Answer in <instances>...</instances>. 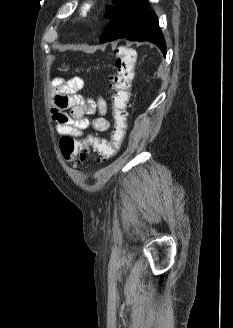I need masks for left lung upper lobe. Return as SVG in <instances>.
Segmentation results:
<instances>
[{
  "label": "left lung upper lobe",
  "instance_id": "1",
  "mask_svg": "<svg viewBox=\"0 0 233 328\" xmlns=\"http://www.w3.org/2000/svg\"><path fill=\"white\" fill-rule=\"evenodd\" d=\"M127 1L128 0H112L114 5H109L107 7L105 17L110 18V20H112L121 10V8L126 4Z\"/></svg>",
  "mask_w": 233,
  "mask_h": 328
}]
</instances>
